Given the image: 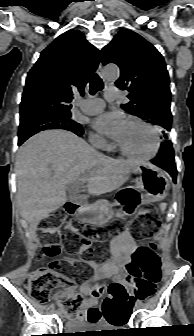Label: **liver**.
<instances>
[{"label": "liver", "instance_id": "obj_1", "mask_svg": "<svg viewBox=\"0 0 194 336\" xmlns=\"http://www.w3.org/2000/svg\"><path fill=\"white\" fill-rule=\"evenodd\" d=\"M141 163L105 156L71 132H40L18 151L17 200L21 214L35 232L41 220L67 202L68 186L84 171L90 172L87 192L101 195L120 188Z\"/></svg>", "mask_w": 194, "mask_h": 336}]
</instances>
